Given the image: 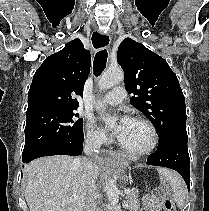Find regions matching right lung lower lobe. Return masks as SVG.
Instances as JSON below:
<instances>
[{
	"mask_svg": "<svg viewBox=\"0 0 209 211\" xmlns=\"http://www.w3.org/2000/svg\"><path fill=\"white\" fill-rule=\"evenodd\" d=\"M84 138L80 141L73 142H56L37 149L26 157L22 158L24 163L43 157L52 155H80L82 153Z\"/></svg>",
	"mask_w": 209,
	"mask_h": 211,
	"instance_id": "98d812e1",
	"label": "right lung lower lobe"
}]
</instances>
